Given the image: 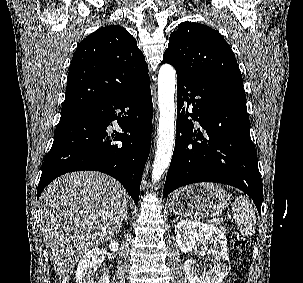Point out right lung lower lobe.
<instances>
[{"instance_id":"98d812e1","label":"right lung lower lobe","mask_w":303,"mask_h":283,"mask_svg":"<svg viewBox=\"0 0 303 283\" xmlns=\"http://www.w3.org/2000/svg\"><path fill=\"white\" fill-rule=\"evenodd\" d=\"M152 117L150 80L126 94L61 115L43 162L37 198L58 176L93 170L116 178L137 205L150 152ZM112 123L123 132L111 131Z\"/></svg>"}]
</instances>
